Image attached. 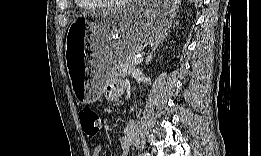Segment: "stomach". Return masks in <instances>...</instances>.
Segmentation results:
<instances>
[{
    "mask_svg": "<svg viewBox=\"0 0 261 156\" xmlns=\"http://www.w3.org/2000/svg\"><path fill=\"white\" fill-rule=\"evenodd\" d=\"M177 6L170 1L130 2L123 7L78 18L69 27L65 57L77 100L100 98L114 59L134 55L170 27ZM90 45L91 59L77 62L75 48Z\"/></svg>",
    "mask_w": 261,
    "mask_h": 156,
    "instance_id": "stomach-1",
    "label": "stomach"
}]
</instances>
